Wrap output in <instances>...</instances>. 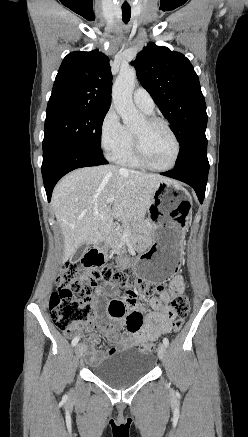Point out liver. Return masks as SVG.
Here are the masks:
<instances>
[{
    "label": "liver",
    "instance_id": "obj_1",
    "mask_svg": "<svg viewBox=\"0 0 248 437\" xmlns=\"http://www.w3.org/2000/svg\"><path fill=\"white\" fill-rule=\"evenodd\" d=\"M160 182L158 174L113 165L85 167L66 175L54 188L51 204L64 236V261L83 244L104 241L113 218L141 222ZM115 197L113 207L107 198Z\"/></svg>",
    "mask_w": 248,
    "mask_h": 437
}]
</instances>
